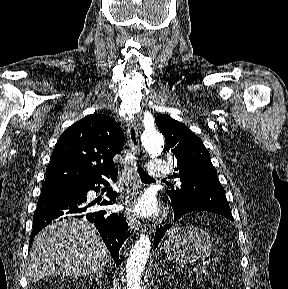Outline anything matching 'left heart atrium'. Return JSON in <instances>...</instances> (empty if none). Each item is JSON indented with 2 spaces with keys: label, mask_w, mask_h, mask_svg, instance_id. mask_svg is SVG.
Returning a JSON list of instances; mask_svg holds the SVG:
<instances>
[{
  "label": "left heart atrium",
  "mask_w": 288,
  "mask_h": 289,
  "mask_svg": "<svg viewBox=\"0 0 288 289\" xmlns=\"http://www.w3.org/2000/svg\"><path fill=\"white\" fill-rule=\"evenodd\" d=\"M155 209L153 201L149 197H145L142 201L136 206L137 211L151 213Z\"/></svg>",
  "instance_id": "1"
}]
</instances>
